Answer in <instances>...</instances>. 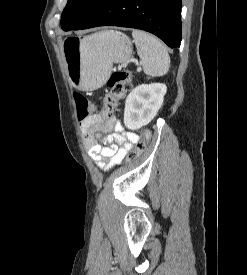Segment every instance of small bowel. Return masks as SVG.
<instances>
[{
	"instance_id": "small-bowel-1",
	"label": "small bowel",
	"mask_w": 247,
	"mask_h": 275,
	"mask_svg": "<svg viewBox=\"0 0 247 275\" xmlns=\"http://www.w3.org/2000/svg\"><path fill=\"white\" fill-rule=\"evenodd\" d=\"M82 134L91 158L105 171L118 165L139 140L135 132L124 130L115 116L104 120L99 114L82 122Z\"/></svg>"
}]
</instances>
